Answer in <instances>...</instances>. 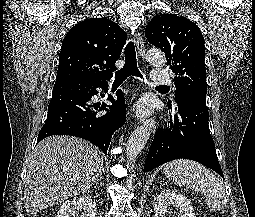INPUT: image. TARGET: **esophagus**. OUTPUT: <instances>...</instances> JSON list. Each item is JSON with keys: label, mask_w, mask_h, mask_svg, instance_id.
I'll list each match as a JSON object with an SVG mask.
<instances>
[{"label": "esophagus", "mask_w": 255, "mask_h": 217, "mask_svg": "<svg viewBox=\"0 0 255 217\" xmlns=\"http://www.w3.org/2000/svg\"><path fill=\"white\" fill-rule=\"evenodd\" d=\"M134 43L135 46L137 48V51L139 53V56L142 58V60L145 59V46H144V41L143 38L141 36V34L139 32H137L134 36ZM140 123L144 124V125H149L152 132H154L155 128H156V122L153 119H140Z\"/></svg>", "instance_id": "1"}]
</instances>
